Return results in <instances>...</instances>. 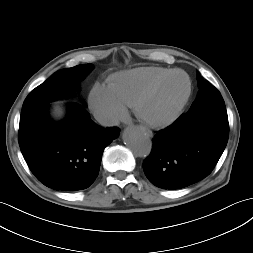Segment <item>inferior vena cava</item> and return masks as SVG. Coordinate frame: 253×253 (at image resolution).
<instances>
[{"label": "inferior vena cava", "mask_w": 253, "mask_h": 253, "mask_svg": "<svg viewBox=\"0 0 253 253\" xmlns=\"http://www.w3.org/2000/svg\"><path fill=\"white\" fill-rule=\"evenodd\" d=\"M94 118L103 126H114L119 123L117 117L108 112L97 111Z\"/></svg>", "instance_id": "inferior-vena-cava-1"}]
</instances>
